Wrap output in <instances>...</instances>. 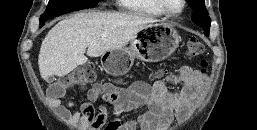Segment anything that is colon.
Listing matches in <instances>:
<instances>
[{"label": "colon", "mask_w": 257, "mask_h": 130, "mask_svg": "<svg viewBox=\"0 0 257 130\" xmlns=\"http://www.w3.org/2000/svg\"><path fill=\"white\" fill-rule=\"evenodd\" d=\"M205 46L202 41L197 38H191L188 42V54L190 56H200L203 54ZM201 73L205 74L207 71L206 61L201 63ZM96 78V72L92 63H86L78 69H75L68 75L60 78L58 81L53 83L49 89L48 94L53 97H63L67 90L75 87H83Z\"/></svg>", "instance_id": "obj_1"}]
</instances>
